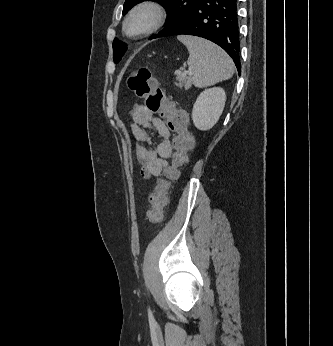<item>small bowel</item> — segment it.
Segmentation results:
<instances>
[{
  "instance_id": "obj_1",
  "label": "small bowel",
  "mask_w": 333,
  "mask_h": 346,
  "mask_svg": "<svg viewBox=\"0 0 333 346\" xmlns=\"http://www.w3.org/2000/svg\"><path fill=\"white\" fill-rule=\"evenodd\" d=\"M133 122L130 125L137 146V158L141 164V176L145 179L161 175L167 166V159L173 153L171 129L157 115L151 113L143 105L136 104L130 110ZM152 136L158 139L153 142Z\"/></svg>"
}]
</instances>
